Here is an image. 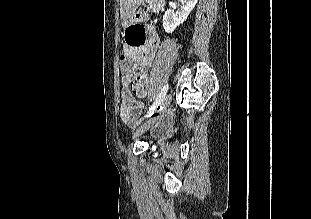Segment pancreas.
<instances>
[{
  "mask_svg": "<svg viewBox=\"0 0 311 219\" xmlns=\"http://www.w3.org/2000/svg\"><path fill=\"white\" fill-rule=\"evenodd\" d=\"M164 0H148V6L151 10H159L163 6Z\"/></svg>",
  "mask_w": 311,
  "mask_h": 219,
  "instance_id": "cf45deb5",
  "label": "pancreas"
}]
</instances>
